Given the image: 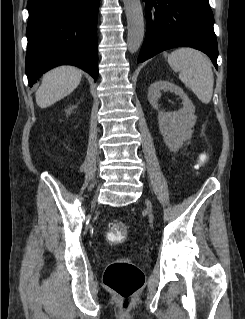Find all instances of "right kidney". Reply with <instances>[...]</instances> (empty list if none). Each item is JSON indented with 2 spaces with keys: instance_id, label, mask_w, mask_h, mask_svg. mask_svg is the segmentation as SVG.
I'll return each mask as SVG.
<instances>
[{
  "instance_id": "ca27d5eb",
  "label": "right kidney",
  "mask_w": 245,
  "mask_h": 319,
  "mask_svg": "<svg viewBox=\"0 0 245 319\" xmlns=\"http://www.w3.org/2000/svg\"><path fill=\"white\" fill-rule=\"evenodd\" d=\"M75 108V106H72V107H69L67 110H66V113L67 114H70L71 111Z\"/></svg>"
}]
</instances>
